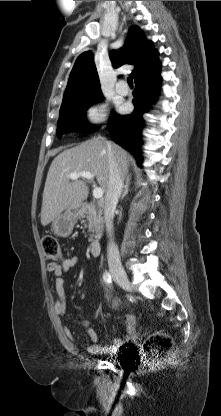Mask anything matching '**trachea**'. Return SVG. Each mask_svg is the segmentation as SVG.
<instances>
[{
  "instance_id": "3493384b",
  "label": "trachea",
  "mask_w": 221,
  "mask_h": 416,
  "mask_svg": "<svg viewBox=\"0 0 221 416\" xmlns=\"http://www.w3.org/2000/svg\"><path fill=\"white\" fill-rule=\"evenodd\" d=\"M127 82L129 84V86H133V78H132V76L128 77Z\"/></svg>"
}]
</instances>
